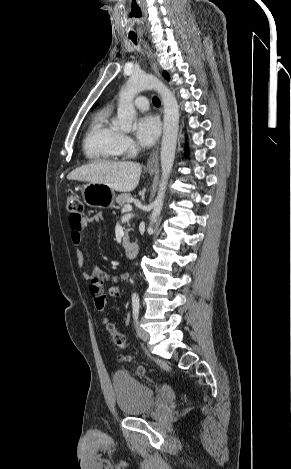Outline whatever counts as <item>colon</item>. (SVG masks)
Returning <instances> with one entry per match:
<instances>
[{"label":"colon","mask_w":291,"mask_h":469,"mask_svg":"<svg viewBox=\"0 0 291 469\" xmlns=\"http://www.w3.org/2000/svg\"><path fill=\"white\" fill-rule=\"evenodd\" d=\"M67 210L70 213V216L76 218H82L84 214V205L81 200V197L76 192H70L67 196ZM107 303V296L103 293H99L97 296L93 298L92 305L96 311H103L105 309ZM103 323L105 325L106 330L111 335L112 341L114 345L119 349H124L126 347V339L125 336L120 333L115 325L110 322L108 319H104ZM119 359L121 361H129V357L125 355H119ZM139 373H143L144 369L140 367L138 369Z\"/></svg>","instance_id":"5ec220e1"}]
</instances>
